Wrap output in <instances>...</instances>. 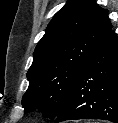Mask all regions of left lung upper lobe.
<instances>
[{
	"label": "left lung upper lobe",
	"mask_w": 118,
	"mask_h": 123,
	"mask_svg": "<svg viewBox=\"0 0 118 123\" xmlns=\"http://www.w3.org/2000/svg\"><path fill=\"white\" fill-rule=\"evenodd\" d=\"M111 27L107 10L95 0H69L35 48L27 72L29 87L22 98L25 111L39 107L47 118L55 119L80 71Z\"/></svg>",
	"instance_id": "1"
}]
</instances>
